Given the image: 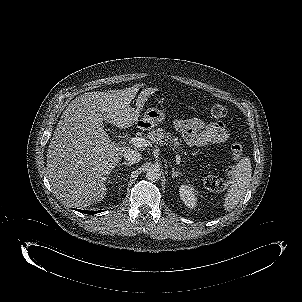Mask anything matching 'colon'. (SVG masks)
Here are the masks:
<instances>
[{
    "label": "colon",
    "mask_w": 302,
    "mask_h": 302,
    "mask_svg": "<svg viewBox=\"0 0 302 302\" xmlns=\"http://www.w3.org/2000/svg\"><path fill=\"white\" fill-rule=\"evenodd\" d=\"M210 114L215 118H221L226 115V108L219 103H213L210 105ZM231 151L234 160H239L243 157V149L241 144L234 143L231 146ZM233 173V168L228 169V175L230 176ZM204 185L207 189L212 191L222 190L224 188V183L217 179L215 176L208 174L204 177Z\"/></svg>",
    "instance_id": "1"
}]
</instances>
